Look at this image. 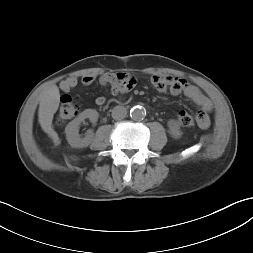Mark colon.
<instances>
[{"label":"colon","instance_id":"colon-1","mask_svg":"<svg viewBox=\"0 0 253 253\" xmlns=\"http://www.w3.org/2000/svg\"><path fill=\"white\" fill-rule=\"evenodd\" d=\"M79 105L73 99L64 95L61 98L60 108L56 117L58 125H64L67 121L75 117L79 112ZM177 121L180 126L193 129L196 125L195 118L186 111H180L177 114Z\"/></svg>","mask_w":253,"mask_h":253}]
</instances>
